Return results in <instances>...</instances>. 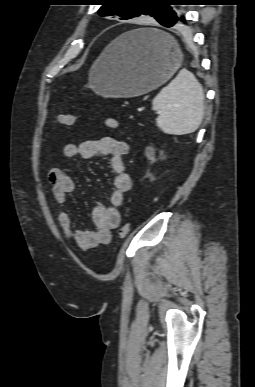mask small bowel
Returning a JSON list of instances; mask_svg holds the SVG:
<instances>
[{
  "label": "small bowel",
  "instance_id": "small-bowel-1",
  "mask_svg": "<svg viewBox=\"0 0 255 387\" xmlns=\"http://www.w3.org/2000/svg\"><path fill=\"white\" fill-rule=\"evenodd\" d=\"M127 142L113 137H102L84 141L78 145L67 144L63 153L67 158L90 159L95 156L109 158L114 173L113 190L109 205H97L92 211L93 230H82L75 227L70 212L67 210V198L75 191L76 185L72 177L59 168L48 172V181L52 195L57 202V219L67 239H71L82 250H89L99 245L108 244L112 231L121 224L119 208L124 203L125 193L131 189L132 180L125 171L123 157L128 153Z\"/></svg>",
  "mask_w": 255,
  "mask_h": 387
}]
</instances>
